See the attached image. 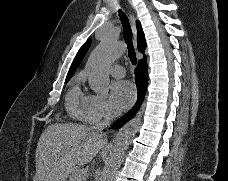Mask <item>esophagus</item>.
<instances>
[{
  "mask_svg": "<svg viewBox=\"0 0 228 181\" xmlns=\"http://www.w3.org/2000/svg\"><path fill=\"white\" fill-rule=\"evenodd\" d=\"M130 19H131V22H132L133 29L135 31V17L133 15H131ZM135 40H136V36H135Z\"/></svg>",
  "mask_w": 228,
  "mask_h": 181,
  "instance_id": "1",
  "label": "esophagus"
}]
</instances>
